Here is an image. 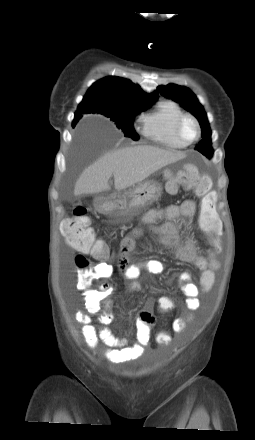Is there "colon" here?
Returning <instances> with one entry per match:
<instances>
[{
  "label": "colon",
  "mask_w": 255,
  "mask_h": 440,
  "mask_svg": "<svg viewBox=\"0 0 255 440\" xmlns=\"http://www.w3.org/2000/svg\"><path fill=\"white\" fill-rule=\"evenodd\" d=\"M211 179L206 174H200L193 166H187L184 170L168 176L167 190L174 193L178 186L191 190L200 199V222L208 229L215 226L217 219L216 193L211 190ZM61 230L67 244L73 248L77 254L74 262L79 273L78 285L82 289H87L92 282L105 277V268L99 264H94L85 253L92 252L95 256L103 258L108 255V248L105 243L97 238L90 226V218L84 207L74 210L71 217L66 218L61 223ZM108 289H104L100 294H107ZM93 293L90 294V296ZM176 298H156L155 304L159 306L162 314L174 311L176 308ZM93 306V305H92ZM94 309L96 306L94 305ZM159 347L171 346L172 339L167 330H158L156 336Z\"/></svg>",
  "instance_id": "1"
}]
</instances>
